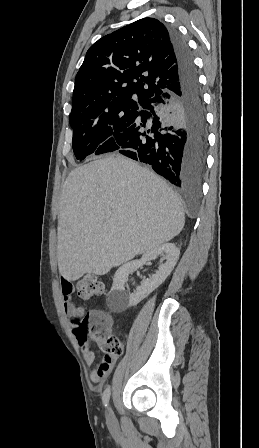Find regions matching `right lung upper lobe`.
Instances as JSON below:
<instances>
[{
    "instance_id": "cb5924a9",
    "label": "right lung upper lobe",
    "mask_w": 259,
    "mask_h": 448,
    "mask_svg": "<svg viewBox=\"0 0 259 448\" xmlns=\"http://www.w3.org/2000/svg\"><path fill=\"white\" fill-rule=\"evenodd\" d=\"M179 86L169 33L154 18H143L92 45L80 67L71 114L144 105Z\"/></svg>"
}]
</instances>
